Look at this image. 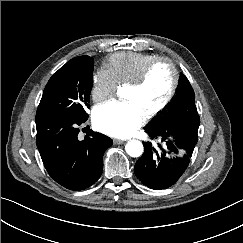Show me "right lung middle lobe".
Returning <instances> with one entry per match:
<instances>
[{
    "label": "right lung middle lobe",
    "instance_id": "dd1d6c3e",
    "mask_svg": "<svg viewBox=\"0 0 243 243\" xmlns=\"http://www.w3.org/2000/svg\"><path fill=\"white\" fill-rule=\"evenodd\" d=\"M93 59L75 57L63 65L45 86L36 116L88 118L89 95L93 85Z\"/></svg>",
    "mask_w": 243,
    "mask_h": 243
}]
</instances>
